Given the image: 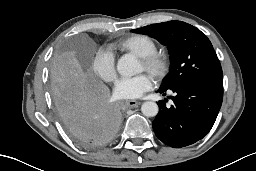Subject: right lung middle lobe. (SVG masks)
Masks as SVG:
<instances>
[{"instance_id": "1", "label": "right lung middle lobe", "mask_w": 256, "mask_h": 171, "mask_svg": "<svg viewBox=\"0 0 256 171\" xmlns=\"http://www.w3.org/2000/svg\"><path fill=\"white\" fill-rule=\"evenodd\" d=\"M50 85L54 102L67 98L81 89L66 58L56 57L50 68Z\"/></svg>"}]
</instances>
